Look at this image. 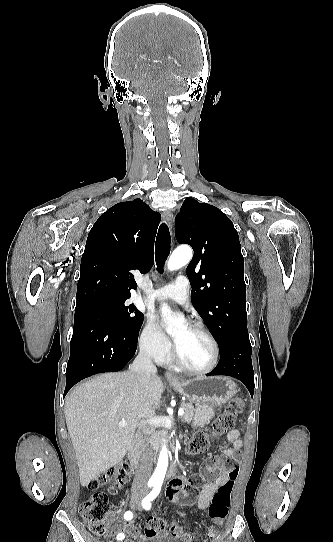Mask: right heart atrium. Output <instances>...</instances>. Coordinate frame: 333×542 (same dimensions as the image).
<instances>
[{
    "label": "right heart atrium",
    "mask_w": 333,
    "mask_h": 542,
    "mask_svg": "<svg viewBox=\"0 0 333 542\" xmlns=\"http://www.w3.org/2000/svg\"><path fill=\"white\" fill-rule=\"evenodd\" d=\"M139 347L150 358H160L167 354L169 341L154 318L145 321L139 335Z\"/></svg>",
    "instance_id": "right-heart-atrium-1"
}]
</instances>
